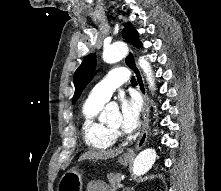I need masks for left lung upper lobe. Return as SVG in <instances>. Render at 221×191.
Segmentation results:
<instances>
[{"mask_svg":"<svg viewBox=\"0 0 221 191\" xmlns=\"http://www.w3.org/2000/svg\"><path fill=\"white\" fill-rule=\"evenodd\" d=\"M122 36L125 40H127L129 43L133 44L134 46L138 48L142 47V43L139 41L138 33L134 29V27L131 26L130 23H127L125 25ZM95 68H96V55L95 54L87 55L74 74L75 93L72 99V103H75L78 100L86 85L95 76Z\"/></svg>","mask_w":221,"mask_h":191,"instance_id":"left-lung-upper-lobe-1","label":"left lung upper lobe"}]
</instances>
